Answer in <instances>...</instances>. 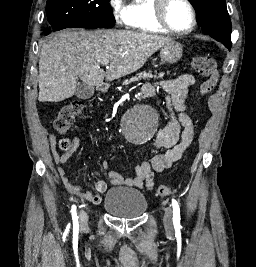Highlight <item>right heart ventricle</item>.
I'll use <instances>...</instances> for the list:
<instances>
[{"label":"right heart ventricle","mask_w":256,"mask_h":267,"mask_svg":"<svg viewBox=\"0 0 256 267\" xmlns=\"http://www.w3.org/2000/svg\"><path fill=\"white\" fill-rule=\"evenodd\" d=\"M134 7L138 20L147 27H137L144 32L143 36H163L169 34L155 22L154 14L157 8V0H137Z\"/></svg>","instance_id":"obj_1"}]
</instances>
